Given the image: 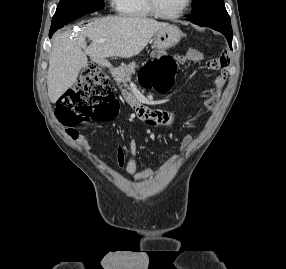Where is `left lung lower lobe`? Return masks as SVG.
Masks as SVG:
<instances>
[{
    "mask_svg": "<svg viewBox=\"0 0 286 269\" xmlns=\"http://www.w3.org/2000/svg\"><path fill=\"white\" fill-rule=\"evenodd\" d=\"M212 29L221 32L227 38L230 48H232V31L231 30L224 29V28H217V27L212 28Z\"/></svg>",
    "mask_w": 286,
    "mask_h": 269,
    "instance_id": "0a47b994",
    "label": "left lung lower lobe"
}]
</instances>
